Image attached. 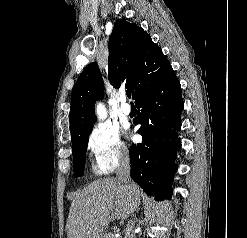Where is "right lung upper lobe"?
<instances>
[{"mask_svg": "<svg viewBox=\"0 0 247 238\" xmlns=\"http://www.w3.org/2000/svg\"><path fill=\"white\" fill-rule=\"evenodd\" d=\"M108 78L114 87L125 83L136 100L171 67L161 48L141 27L118 19L109 39ZM104 96V83L96 63L79 76L71 95L72 145L87 135L96 121L94 104Z\"/></svg>", "mask_w": 247, "mask_h": 238, "instance_id": "cb5924a9", "label": "right lung upper lobe"}]
</instances>
